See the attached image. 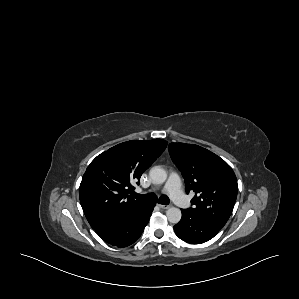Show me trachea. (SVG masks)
Here are the masks:
<instances>
[{"instance_id":"3493384b","label":"trachea","mask_w":299,"mask_h":299,"mask_svg":"<svg viewBox=\"0 0 299 299\" xmlns=\"http://www.w3.org/2000/svg\"><path fill=\"white\" fill-rule=\"evenodd\" d=\"M132 196L136 199L145 201V202H149V203H160L163 205H168L170 203L169 198L165 197V196H161L159 199L156 198V196L154 194L148 193V194H137V193H133Z\"/></svg>"}]
</instances>
